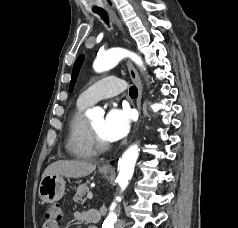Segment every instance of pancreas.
<instances>
[{
  "mask_svg": "<svg viewBox=\"0 0 238 228\" xmlns=\"http://www.w3.org/2000/svg\"><path fill=\"white\" fill-rule=\"evenodd\" d=\"M86 193H89V187L86 184H81L78 186L76 190V194L73 197L75 202H85L84 196Z\"/></svg>",
  "mask_w": 238,
  "mask_h": 228,
  "instance_id": "cf45deb5",
  "label": "pancreas"
}]
</instances>
